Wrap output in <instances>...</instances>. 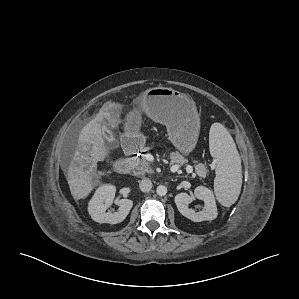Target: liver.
<instances>
[{
    "mask_svg": "<svg viewBox=\"0 0 299 299\" xmlns=\"http://www.w3.org/2000/svg\"><path fill=\"white\" fill-rule=\"evenodd\" d=\"M118 105L106 103L99 113L81 130L78 145L67 169V181L75 200L86 198L94 188L97 163L109 157V149L102 136V122L118 124Z\"/></svg>",
    "mask_w": 299,
    "mask_h": 299,
    "instance_id": "obj_1",
    "label": "liver"
}]
</instances>
